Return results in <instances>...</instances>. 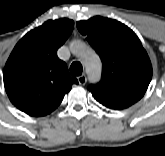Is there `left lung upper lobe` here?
Listing matches in <instances>:
<instances>
[{
    "label": "left lung upper lobe",
    "mask_w": 165,
    "mask_h": 156,
    "mask_svg": "<svg viewBox=\"0 0 165 156\" xmlns=\"http://www.w3.org/2000/svg\"><path fill=\"white\" fill-rule=\"evenodd\" d=\"M76 25L103 63L101 81L88 88L95 99L115 110L140 100L151 81L152 66L136 34L120 22L100 16Z\"/></svg>",
    "instance_id": "5c2ea615"
}]
</instances>
